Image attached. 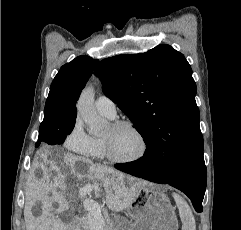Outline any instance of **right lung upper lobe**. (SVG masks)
<instances>
[{"mask_svg": "<svg viewBox=\"0 0 241 230\" xmlns=\"http://www.w3.org/2000/svg\"><path fill=\"white\" fill-rule=\"evenodd\" d=\"M98 63V59L82 55L61 67L51 84L44 119H76L75 101Z\"/></svg>", "mask_w": 241, "mask_h": 230, "instance_id": "obj_1", "label": "right lung upper lobe"}]
</instances>
